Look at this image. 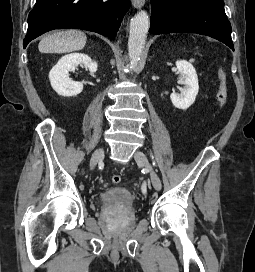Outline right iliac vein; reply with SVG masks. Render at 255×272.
<instances>
[{
	"mask_svg": "<svg viewBox=\"0 0 255 272\" xmlns=\"http://www.w3.org/2000/svg\"><path fill=\"white\" fill-rule=\"evenodd\" d=\"M103 157H104V149L98 148L91 157L90 169L93 170L96 167L97 163L103 159Z\"/></svg>",
	"mask_w": 255,
	"mask_h": 272,
	"instance_id": "right-iliac-vein-1",
	"label": "right iliac vein"
}]
</instances>
